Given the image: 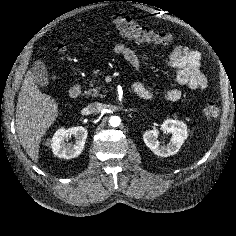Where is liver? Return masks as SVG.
<instances>
[{
    "instance_id": "6515ba94",
    "label": "liver",
    "mask_w": 236,
    "mask_h": 236,
    "mask_svg": "<svg viewBox=\"0 0 236 236\" xmlns=\"http://www.w3.org/2000/svg\"><path fill=\"white\" fill-rule=\"evenodd\" d=\"M58 116L54 98L42 93L31 71L23 80L16 106V130L19 141L29 157L37 163L39 143Z\"/></svg>"
}]
</instances>
